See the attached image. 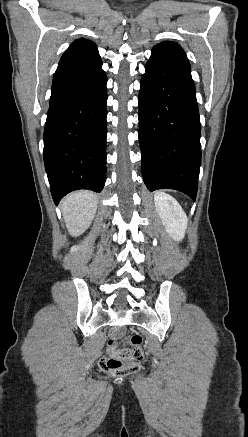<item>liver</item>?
<instances>
[{"label":"liver","instance_id":"obj_1","mask_svg":"<svg viewBox=\"0 0 248 437\" xmlns=\"http://www.w3.org/2000/svg\"><path fill=\"white\" fill-rule=\"evenodd\" d=\"M98 199L90 191H77L69 194L61 203L63 218L71 236L83 234L91 225Z\"/></svg>","mask_w":248,"mask_h":437}]
</instances>
